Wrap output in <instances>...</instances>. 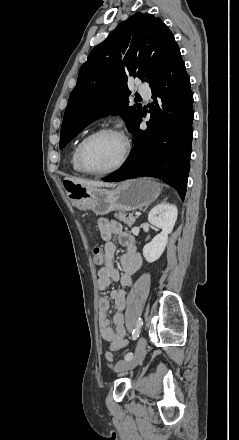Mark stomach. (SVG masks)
<instances>
[{"mask_svg":"<svg viewBox=\"0 0 239 440\" xmlns=\"http://www.w3.org/2000/svg\"><path fill=\"white\" fill-rule=\"evenodd\" d=\"M161 190V184L153 182L151 178H137L122 182L115 190H89L81 184L70 182L67 194L79 210H92L97 216H104L113 210L131 212L149 206L158 198Z\"/></svg>","mask_w":239,"mask_h":440,"instance_id":"1","label":"stomach"}]
</instances>
